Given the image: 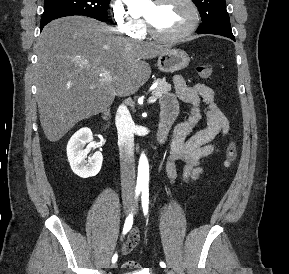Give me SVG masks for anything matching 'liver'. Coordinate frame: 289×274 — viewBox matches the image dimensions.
<instances>
[{
    "instance_id": "liver-1",
    "label": "liver",
    "mask_w": 289,
    "mask_h": 274,
    "mask_svg": "<svg viewBox=\"0 0 289 274\" xmlns=\"http://www.w3.org/2000/svg\"><path fill=\"white\" fill-rule=\"evenodd\" d=\"M167 50L84 16L50 22L36 44L37 102L46 138L57 142L81 120L106 110L115 96L136 92L151 75L145 60Z\"/></svg>"
}]
</instances>
